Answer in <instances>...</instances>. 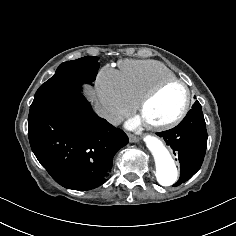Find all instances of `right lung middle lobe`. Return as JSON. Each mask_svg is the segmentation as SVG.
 I'll return each mask as SVG.
<instances>
[{"mask_svg":"<svg viewBox=\"0 0 236 236\" xmlns=\"http://www.w3.org/2000/svg\"><path fill=\"white\" fill-rule=\"evenodd\" d=\"M98 60L95 56H85L60 64L55 75L36 91L30 108L52 99L81 93L84 83L92 84L95 80L99 69Z\"/></svg>","mask_w":236,"mask_h":236,"instance_id":"obj_1","label":"right lung middle lobe"}]
</instances>
